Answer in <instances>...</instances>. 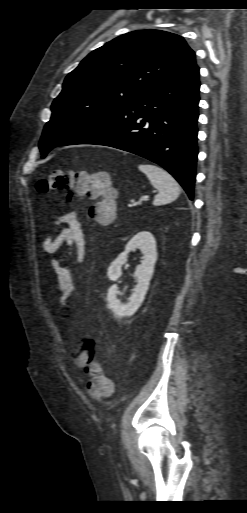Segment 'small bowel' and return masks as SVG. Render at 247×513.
I'll return each instance as SVG.
<instances>
[{
  "mask_svg": "<svg viewBox=\"0 0 247 513\" xmlns=\"http://www.w3.org/2000/svg\"><path fill=\"white\" fill-rule=\"evenodd\" d=\"M56 231L43 241V250L51 255L52 267L57 276L58 290L62 294L61 305L67 307L73 290V274L64 260L75 256L76 263H82L86 256L85 236L81 222L75 213H66L55 221ZM67 247L65 251H62ZM93 347L94 343L89 341ZM76 362V361H75Z\"/></svg>",
  "mask_w": 247,
  "mask_h": 513,
  "instance_id": "small-bowel-1",
  "label": "small bowel"
}]
</instances>
